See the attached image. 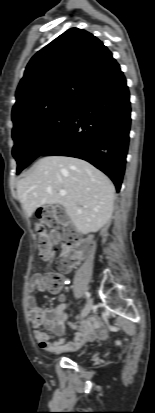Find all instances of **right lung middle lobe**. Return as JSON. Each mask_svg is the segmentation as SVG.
Listing matches in <instances>:
<instances>
[{
    "label": "right lung middle lobe",
    "mask_w": 155,
    "mask_h": 413,
    "mask_svg": "<svg viewBox=\"0 0 155 413\" xmlns=\"http://www.w3.org/2000/svg\"><path fill=\"white\" fill-rule=\"evenodd\" d=\"M75 103L65 104L18 125L12 131L13 157L17 161V174L41 155L63 133Z\"/></svg>",
    "instance_id": "right-lung-middle-lobe-1"
}]
</instances>
